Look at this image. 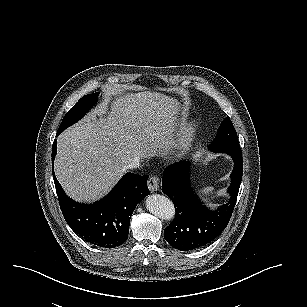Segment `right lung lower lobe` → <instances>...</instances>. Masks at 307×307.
<instances>
[{
    "label": "right lung lower lobe",
    "instance_id": "right-lung-lower-lobe-1",
    "mask_svg": "<svg viewBox=\"0 0 307 307\" xmlns=\"http://www.w3.org/2000/svg\"><path fill=\"white\" fill-rule=\"evenodd\" d=\"M56 152L55 140L52 169ZM52 173L63 216L84 241L96 247L115 248L127 240L131 215L141 198L149 194L147 175L127 173L104 199L87 205L69 198L56 179L54 169Z\"/></svg>",
    "mask_w": 307,
    "mask_h": 307
}]
</instances>
